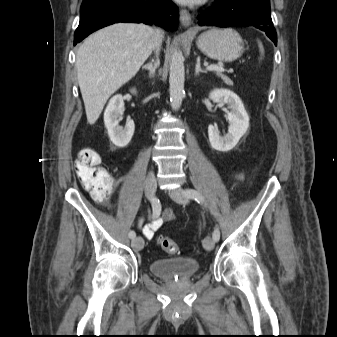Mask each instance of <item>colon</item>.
Here are the masks:
<instances>
[{
    "label": "colon",
    "instance_id": "colon-1",
    "mask_svg": "<svg viewBox=\"0 0 337 337\" xmlns=\"http://www.w3.org/2000/svg\"><path fill=\"white\" fill-rule=\"evenodd\" d=\"M76 172L82 186L97 201H105L114 189V181L110 174L101 166V155L93 148H83L79 151L76 160ZM158 243L163 250L176 254L178 244L167 238L159 237Z\"/></svg>",
    "mask_w": 337,
    "mask_h": 337
}]
</instances>
